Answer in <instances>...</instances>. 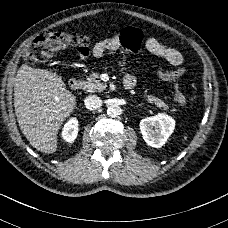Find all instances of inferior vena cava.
<instances>
[{"mask_svg": "<svg viewBox=\"0 0 228 228\" xmlns=\"http://www.w3.org/2000/svg\"><path fill=\"white\" fill-rule=\"evenodd\" d=\"M84 104L87 109L96 110L102 106V100L96 95H90L85 98Z\"/></svg>", "mask_w": 228, "mask_h": 228, "instance_id": "inferior-vena-cava-1", "label": "inferior vena cava"}]
</instances>
